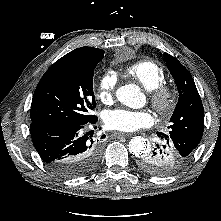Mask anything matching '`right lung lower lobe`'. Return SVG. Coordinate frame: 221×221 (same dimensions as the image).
<instances>
[{
  "label": "right lung lower lobe",
  "mask_w": 221,
  "mask_h": 221,
  "mask_svg": "<svg viewBox=\"0 0 221 221\" xmlns=\"http://www.w3.org/2000/svg\"><path fill=\"white\" fill-rule=\"evenodd\" d=\"M97 120L96 118L88 123L95 124ZM88 123H31L33 144L51 171L61 177L75 178L84 176L97 167L101 157L100 147L93 142V134L89 136L90 132H84ZM101 138H105V135Z\"/></svg>",
  "instance_id": "1"
}]
</instances>
